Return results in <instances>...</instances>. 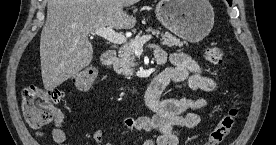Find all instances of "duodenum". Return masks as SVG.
<instances>
[{"label": "duodenum", "mask_w": 276, "mask_h": 145, "mask_svg": "<svg viewBox=\"0 0 276 145\" xmlns=\"http://www.w3.org/2000/svg\"><path fill=\"white\" fill-rule=\"evenodd\" d=\"M116 59H117V52L113 49L106 50L102 55V63L107 68H111L114 62L116 61ZM156 60L158 64H162L164 62V58L160 56L156 57ZM167 83H168V80L166 78H163L161 75H159L154 79V86L157 89H163L167 85ZM127 89L132 93L136 92V88L134 87H130Z\"/></svg>", "instance_id": "410a0bca"}]
</instances>
